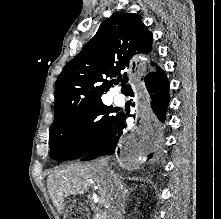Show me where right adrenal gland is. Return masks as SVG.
<instances>
[{
	"instance_id": "obj_1",
	"label": "right adrenal gland",
	"mask_w": 221,
	"mask_h": 219,
	"mask_svg": "<svg viewBox=\"0 0 221 219\" xmlns=\"http://www.w3.org/2000/svg\"><path fill=\"white\" fill-rule=\"evenodd\" d=\"M133 187H130V188H128V189H124V192H125V194H126V200L127 201H130V198H129V196H130V194L133 192ZM123 213H125V206H124V211H123Z\"/></svg>"
}]
</instances>
